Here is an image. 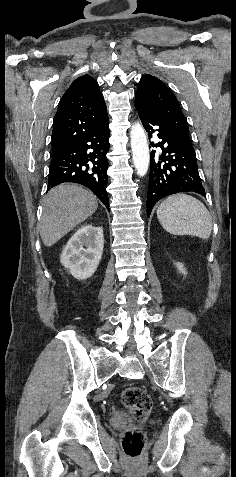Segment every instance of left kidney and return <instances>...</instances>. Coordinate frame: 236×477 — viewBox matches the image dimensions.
<instances>
[{
	"label": "left kidney",
	"instance_id": "5707ae66",
	"mask_svg": "<svg viewBox=\"0 0 236 477\" xmlns=\"http://www.w3.org/2000/svg\"><path fill=\"white\" fill-rule=\"evenodd\" d=\"M176 266H177V269L179 270L180 273H182V274H184V275L187 274L186 269H185V267H184V265H183L182 263H179V262H178V263L176 264Z\"/></svg>",
	"mask_w": 236,
	"mask_h": 477
}]
</instances>
